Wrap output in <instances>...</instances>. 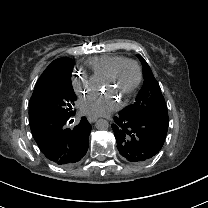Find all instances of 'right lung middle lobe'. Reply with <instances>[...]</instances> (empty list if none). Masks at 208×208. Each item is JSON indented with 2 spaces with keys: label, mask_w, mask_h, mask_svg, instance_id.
<instances>
[{
  "label": "right lung middle lobe",
  "mask_w": 208,
  "mask_h": 208,
  "mask_svg": "<svg viewBox=\"0 0 208 208\" xmlns=\"http://www.w3.org/2000/svg\"><path fill=\"white\" fill-rule=\"evenodd\" d=\"M74 61L62 58L36 84L29 103V120L43 121L55 116L74 114V101L77 99L71 83Z\"/></svg>",
  "instance_id": "right-lung-middle-lobe-1"
}]
</instances>
